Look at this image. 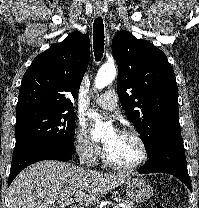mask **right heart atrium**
I'll return each instance as SVG.
<instances>
[{
    "label": "right heart atrium",
    "mask_w": 199,
    "mask_h": 208,
    "mask_svg": "<svg viewBox=\"0 0 199 208\" xmlns=\"http://www.w3.org/2000/svg\"><path fill=\"white\" fill-rule=\"evenodd\" d=\"M74 146L76 151L90 164H95L101 157V149L88 134L83 123L79 122L74 130Z\"/></svg>",
    "instance_id": "right-heart-atrium-1"
}]
</instances>
